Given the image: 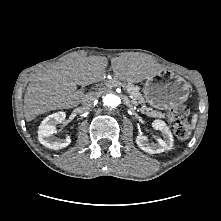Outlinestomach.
Wrapping results in <instances>:
<instances>
[{"label":"stomach","instance_id":"obj_1","mask_svg":"<svg viewBox=\"0 0 221 221\" xmlns=\"http://www.w3.org/2000/svg\"><path fill=\"white\" fill-rule=\"evenodd\" d=\"M143 88L144 98L152 107L170 110L186 101L190 84L172 71L156 70L147 76Z\"/></svg>","mask_w":221,"mask_h":221}]
</instances>
